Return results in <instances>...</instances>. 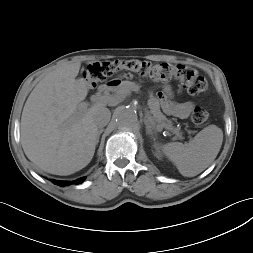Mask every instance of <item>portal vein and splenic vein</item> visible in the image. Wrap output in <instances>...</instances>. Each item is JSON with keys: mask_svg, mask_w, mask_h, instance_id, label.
Returning a JSON list of instances; mask_svg holds the SVG:
<instances>
[{"mask_svg": "<svg viewBox=\"0 0 253 253\" xmlns=\"http://www.w3.org/2000/svg\"><path fill=\"white\" fill-rule=\"evenodd\" d=\"M101 100H103V98H101ZM89 104L86 102H82L78 105V113L82 114L84 112H86L87 108H88ZM146 112L150 113L149 110L146 108ZM149 118L153 120V116L149 115ZM174 133L178 134V131H175Z\"/></svg>", "mask_w": 253, "mask_h": 253, "instance_id": "1", "label": "portal vein and splenic vein"}]
</instances>
